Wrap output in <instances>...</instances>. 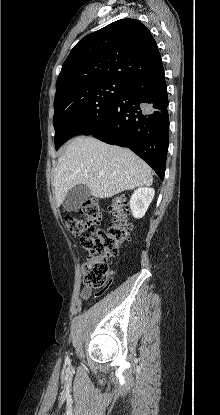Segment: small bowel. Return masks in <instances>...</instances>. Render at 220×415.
<instances>
[{
	"instance_id": "small-bowel-1",
	"label": "small bowel",
	"mask_w": 220,
	"mask_h": 415,
	"mask_svg": "<svg viewBox=\"0 0 220 415\" xmlns=\"http://www.w3.org/2000/svg\"><path fill=\"white\" fill-rule=\"evenodd\" d=\"M91 295V290L88 287L82 288L80 292V297L82 299H87Z\"/></svg>"
}]
</instances>
